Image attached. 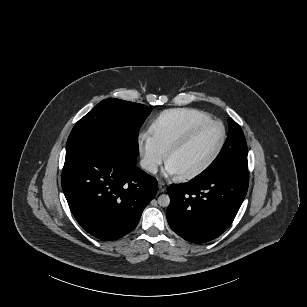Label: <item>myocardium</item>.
<instances>
[{
	"instance_id": "1",
	"label": "myocardium",
	"mask_w": 307,
	"mask_h": 307,
	"mask_svg": "<svg viewBox=\"0 0 307 307\" xmlns=\"http://www.w3.org/2000/svg\"><path fill=\"white\" fill-rule=\"evenodd\" d=\"M216 123L221 124L224 128V136H223L221 144L219 145V147L217 148L215 153L205 163H203L201 166H199V167H197V168H195L191 171H188L186 173L178 175L179 179L185 180V179H190V178L196 177L198 175H201L215 164V162L218 160V158L222 154V152H223V150H224V148H225V146L228 142L227 125L221 120H209L206 123L198 126L194 130H192L185 138H183L179 142L175 143L172 147H170L167 150L166 155H165V159H166V163L169 164V161L174 154L178 153L179 151H181L184 148H186L187 146H189L200 135L201 132H203L209 126L216 124Z\"/></svg>"
}]
</instances>
